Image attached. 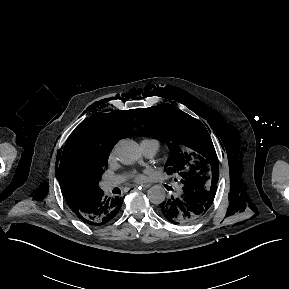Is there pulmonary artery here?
Here are the masks:
<instances>
[{"label": "pulmonary artery", "instance_id": "1", "mask_svg": "<svg viewBox=\"0 0 289 289\" xmlns=\"http://www.w3.org/2000/svg\"><path fill=\"white\" fill-rule=\"evenodd\" d=\"M141 148L144 155L148 158L153 157L159 150V142L155 139H144L141 142ZM123 176L107 178L103 182V188L109 190L123 181Z\"/></svg>", "mask_w": 289, "mask_h": 289}]
</instances>
